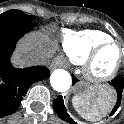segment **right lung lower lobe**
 <instances>
[{
  "label": "right lung lower lobe",
  "mask_w": 124,
  "mask_h": 124,
  "mask_svg": "<svg viewBox=\"0 0 124 124\" xmlns=\"http://www.w3.org/2000/svg\"><path fill=\"white\" fill-rule=\"evenodd\" d=\"M35 27L28 23H0V117L14 113L30 85L49 77L45 66L15 68L10 62L16 42Z\"/></svg>",
  "instance_id": "1"
}]
</instances>
